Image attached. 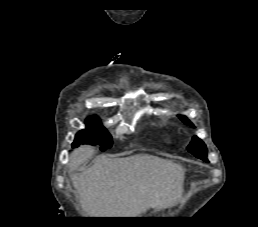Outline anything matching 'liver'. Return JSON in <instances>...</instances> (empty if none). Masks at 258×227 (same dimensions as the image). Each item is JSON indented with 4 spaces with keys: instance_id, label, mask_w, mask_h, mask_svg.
<instances>
[{
    "instance_id": "obj_1",
    "label": "liver",
    "mask_w": 258,
    "mask_h": 227,
    "mask_svg": "<svg viewBox=\"0 0 258 227\" xmlns=\"http://www.w3.org/2000/svg\"><path fill=\"white\" fill-rule=\"evenodd\" d=\"M93 153L88 145L75 149L70 156V172ZM71 179L88 215L135 217L149 208L172 206L182 193L184 170L179 164L155 156L102 155L90 168L71 174Z\"/></svg>"
}]
</instances>
